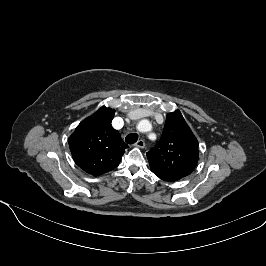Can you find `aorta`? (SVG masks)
<instances>
[{"mask_svg":"<svg viewBox=\"0 0 266 266\" xmlns=\"http://www.w3.org/2000/svg\"><path fill=\"white\" fill-rule=\"evenodd\" d=\"M148 124H149V123L146 121V122H145V125H148Z\"/></svg>","mask_w":266,"mask_h":266,"instance_id":"1","label":"aorta"}]
</instances>
